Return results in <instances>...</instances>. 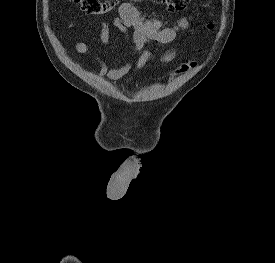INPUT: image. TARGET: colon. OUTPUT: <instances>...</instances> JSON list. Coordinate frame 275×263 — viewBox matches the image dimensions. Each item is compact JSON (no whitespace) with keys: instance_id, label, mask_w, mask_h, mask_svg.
I'll return each mask as SVG.
<instances>
[{"instance_id":"1","label":"colon","mask_w":275,"mask_h":263,"mask_svg":"<svg viewBox=\"0 0 275 263\" xmlns=\"http://www.w3.org/2000/svg\"><path fill=\"white\" fill-rule=\"evenodd\" d=\"M74 3H77L81 6L82 10L88 14L93 15H105L111 12L116 5L119 3V0H72ZM163 3L167 10L170 12H181L184 11L187 7L189 0H160ZM196 65V62L193 60L186 61L179 68H177L174 73H183L193 68Z\"/></svg>"}]
</instances>
